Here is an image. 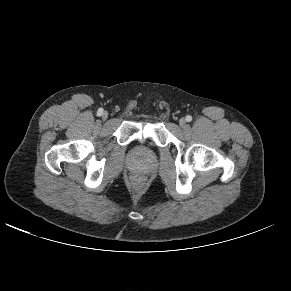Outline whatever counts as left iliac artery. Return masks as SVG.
Segmentation results:
<instances>
[{"mask_svg": "<svg viewBox=\"0 0 291 291\" xmlns=\"http://www.w3.org/2000/svg\"><path fill=\"white\" fill-rule=\"evenodd\" d=\"M191 120H192V117H191L190 115H187V116H186V121H187V122H190Z\"/></svg>", "mask_w": 291, "mask_h": 291, "instance_id": "1", "label": "left iliac artery"}]
</instances>
